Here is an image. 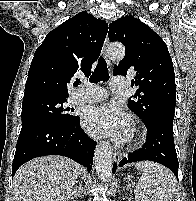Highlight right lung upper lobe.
<instances>
[{
    "label": "right lung upper lobe",
    "instance_id": "1",
    "mask_svg": "<svg viewBox=\"0 0 196 201\" xmlns=\"http://www.w3.org/2000/svg\"><path fill=\"white\" fill-rule=\"evenodd\" d=\"M107 32L108 24L86 11L49 32L34 53L24 98L68 96V85L74 76L78 72L91 73Z\"/></svg>",
    "mask_w": 196,
    "mask_h": 201
}]
</instances>
